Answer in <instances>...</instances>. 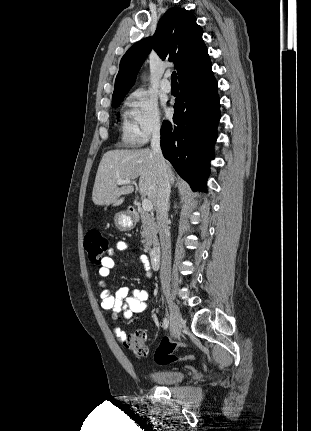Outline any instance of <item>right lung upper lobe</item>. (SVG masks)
<instances>
[{"label":"right lung upper lobe","mask_w":311,"mask_h":431,"mask_svg":"<svg viewBox=\"0 0 311 431\" xmlns=\"http://www.w3.org/2000/svg\"><path fill=\"white\" fill-rule=\"evenodd\" d=\"M202 34L190 11L169 9L160 19L154 36L137 42L122 57L113 98L127 94L152 48L161 59L174 62L179 84L211 65Z\"/></svg>","instance_id":"cb5924a9"}]
</instances>
